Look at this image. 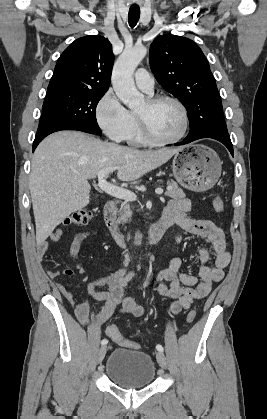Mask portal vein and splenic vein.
I'll return each instance as SVG.
<instances>
[{
	"instance_id": "obj_1",
	"label": "portal vein and splenic vein",
	"mask_w": 267,
	"mask_h": 419,
	"mask_svg": "<svg viewBox=\"0 0 267 419\" xmlns=\"http://www.w3.org/2000/svg\"><path fill=\"white\" fill-rule=\"evenodd\" d=\"M116 168L108 167L105 169L100 170L97 173L98 176V186L101 190H103L105 193L119 199H123L126 201H135L137 199L136 194H134L132 191L120 188L114 184H111L107 182L106 177L112 173ZM163 189L157 188L155 190V193L158 195L163 194Z\"/></svg>"
}]
</instances>
